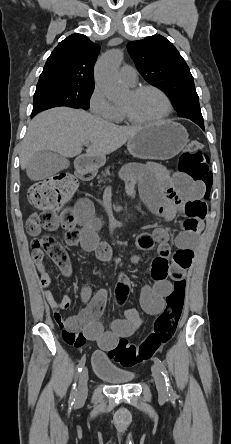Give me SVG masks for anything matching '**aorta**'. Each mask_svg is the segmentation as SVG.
<instances>
[{
	"mask_svg": "<svg viewBox=\"0 0 231 444\" xmlns=\"http://www.w3.org/2000/svg\"><path fill=\"white\" fill-rule=\"evenodd\" d=\"M122 59V51L113 49L102 56L96 63V83L110 101H117L125 94V88L117 77V69Z\"/></svg>",
	"mask_w": 231,
	"mask_h": 444,
	"instance_id": "762f6f07",
	"label": "aorta"
}]
</instances>
